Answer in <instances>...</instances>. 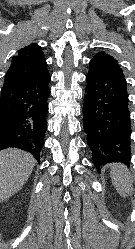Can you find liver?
Instances as JSON below:
<instances>
[{"label":"liver","instance_id":"6515ba94","mask_svg":"<svg viewBox=\"0 0 135 249\" xmlns=\"http://www.w3.org/2000/svg\"><path fill=\"white\" fill-rule=\"evenodd\" d=\"M35 163L34 157L23 150L8 148L0 151V202L23 187Z\"/></svg>","mask_w":135,"mask_h":249}]
</instances>
